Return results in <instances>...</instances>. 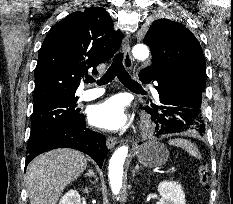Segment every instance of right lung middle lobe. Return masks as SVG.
Segmentation results:
<instances>
[{
  "instance_id": "right-lung-middle-lobe-1",
  "label": "right lung middle lobe",
  "mask_w": 233,
  "mask_h": 204,
  "mask_svg": "<svg viewBox=\"0 0 233 204\" xmlns=\"http://www.w3.org/2000/svg\"><path fill=\"white\" fill-rule=\"evenodd\" d=\"M78 97H54L34 103L28 148L46 137L77 123L83 117L75 109Z\"/></svg>"
}]
</instances>
